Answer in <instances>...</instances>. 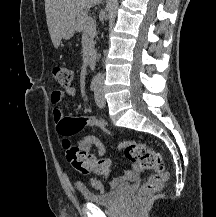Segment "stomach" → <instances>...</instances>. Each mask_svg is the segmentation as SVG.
I'll use <instances>...</instances> for the list:
<instances>
[{"label": "stomach", "mask_w": 216, "mask_h": 217, "mask_svg": "<svg viewBox=\"0 0 216 217\" xmlns=\"http://www.w3.org/2000/svg\"><path fill=\"white\" fill-rule=\"evenodd\" d=\"M75 32V25L73 24L71 27H69L65 32V39H69L74 35Z\"/></svg>", "instance_id": "0dacf381"}]
</instances>
